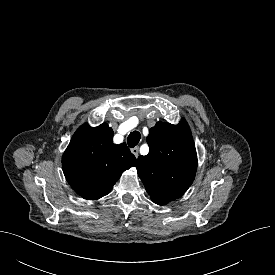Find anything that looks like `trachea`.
Wrapping results in <instances>:
<instances>
[{
  "instance_id": "obj_1",
  "label": "trachea",
  "mask_w": 275,
  "mask_h": 275,
  "mask_svg": "<svg viewBox=\"0 0 275 275\" xmlns=\"http://www.w3.org/2000/svg\"><path fill=\"white\" fill-rule=\"evenodd\" d=\"M140 138H141V135L138 131H134V132L130 133L127 138L128 146L130 148L135 147L139 143Z\"/></svg>"
}]
</instances>
